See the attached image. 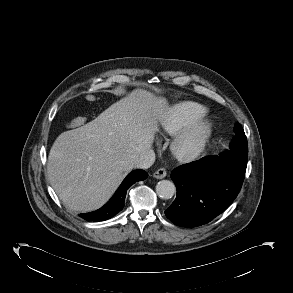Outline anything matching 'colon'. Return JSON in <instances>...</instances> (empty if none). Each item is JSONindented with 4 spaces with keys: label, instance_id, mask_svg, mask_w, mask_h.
<instances>
[{
    "label": "colon",
    "instance_id": "5ec220e1",
    "mask_svg": "<svg viewBox=\"0 0 293 293\" xmlns=\"http://www.w3.org/2000/svg\"><path fill=\"white\" fill-rule=\"evenodd\" d=\"M85 98L88 102H95L98 100V96L95 94H92V93L87 94ZM85 122H86V118L79 116V117L72 119L69 122L68 126L70 128H77V127H80L83 124H85Z\"/></svg>",
    "mask_w": 293,
    "mask_h": 293
}]
</instances>
